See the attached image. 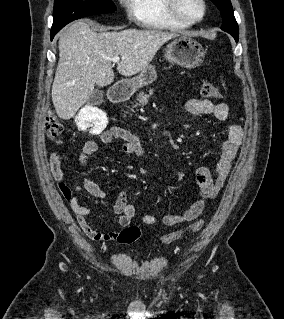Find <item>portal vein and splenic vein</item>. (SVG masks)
Wrapping results in <instances>:
<instances>
[{
	"mask_svg": "<svg viewBox=\"0 0 284 319\" xmlns=\"http://www.w3.org/2000/svg\"><path fill=\"white\" fill-rule=\"evenodd\" d=\"M112 62L114 63H118L120 61V58L119 57H113L110 59Z\"/></svg>",
	"mask_w": 284,
	"mask_h": 319,
	"instance_id": "obj_1",
	"label": "portal vein and splenic vein"
}]
</instances>
